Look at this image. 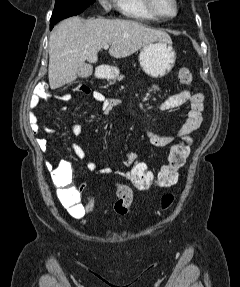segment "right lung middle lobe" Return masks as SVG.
<instances>
[{
  "instance_id": "right-lung-middle-lobe-1",
  "label": "right lung middle lobe",
  "mask_w": 240,
  "mask_h": 287,
  "mask_svg": "<svg viewBox=\"0 0 240 287\" xmlns=\"http://www.w3.org/2000/svg\"><path fill=\"white\" fill-rule=\"evenodd\" d=\"M94 2L95 0H55V7L50 19V25L67 17L80 14Z\"/></svg>"
}]
</instances>
